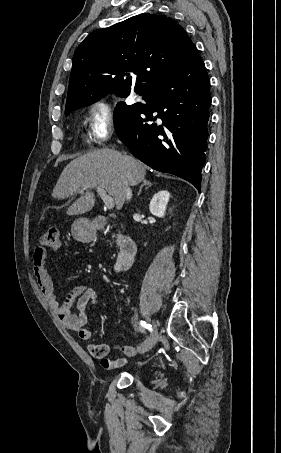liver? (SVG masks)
<instances>
[{
  "mask_svg": "<svg viewBox=\"0 0 281 453\" xmlns=\"http://www.w3.org/2000/svg\"><path fill=\"white\" fill-rule=\"evenodd\" d=\"M147 168L146 164L134 156L122 154L114 148L90 150L73 158L63 168L52 196L60 200L80 192L82 196L67 208V214H84L92 210L95 204L92 188L101 186L113 196L116 208L120 210L126 200V188L144 180Z\"/></svg>",
  "mask_w": 281,
  "mask_h": 453,
  "instance_id": "1",
  "label": "liver"
}]
</instances>
